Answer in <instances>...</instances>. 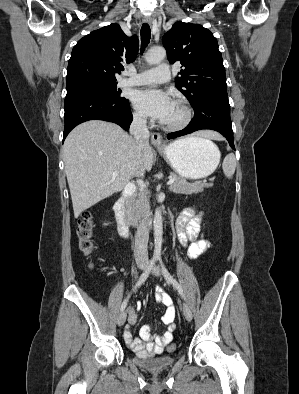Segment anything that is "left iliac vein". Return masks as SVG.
<instances>
[{
  "mask_svg": "<svg viewBox=\"0 0 299 394\" xmlns=\"http://www.w3.org/2000/svg\"><path fill=\"white\" fill-rule=\"evenodd\" d=\"M152 274L155 276H160L161 274V270L159 268V266L155 265L153 270H152ZM183 314L186 318L187 321H191L192 320V312L190 310V308L188 307L187 304H183Z\"/></svg>",
  "mask_w": 299,
  "mask_h": 394,
  "instance_id": "left-iliac-vein-1",
  "label": "left iliac vein"
}]
</instances>
